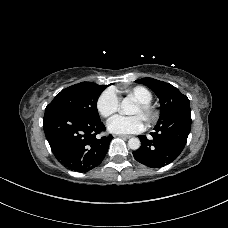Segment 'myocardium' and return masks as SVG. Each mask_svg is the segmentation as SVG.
<instances>
[{
  "label": "myocardium",
  "mask_w": 228,
  "mask_h": 228,
  "mask_svg": "<svg viewBox=\"0 0 228 228\" xmlns=\"http://www.w3.org/2000/svg\"><path fill=\"white\" fill-rule=\"evenodd\" d=\"M135 105L141 110L144 115V120L147 124H153L158 118V111L151 103L135 102Z\"/></svg>",
  "instance_id": "myocardium-1"
}]
</instances>
